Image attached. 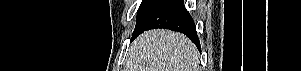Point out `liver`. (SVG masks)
Instances as JSON below:
<instances>
[{
	"label": "liver",
	"instance_id": "6515ba94",
	"mask_svg": "<svg viewBox=\"0 0 301 71\" xmlns=\"http://www.w3.org/2000/svg\"><path fill=\"white\" fill-rule=\"evenodd\" d=\"M199 52L183 34L155 29L131 44L127 71H199Z\"/></svg>",
	"mask_w": 301,
	"mask_h": 71
}]
</instances>
